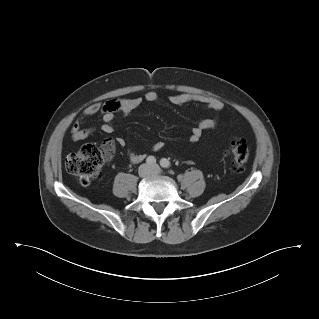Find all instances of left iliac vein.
Instances as JSON below:
<instances>
[{
    "label": "left iliac vein",
    "instance_id": "1",
    "mask_svg": "<svg viewBox=\"0 0 319 319\" xmlns=\"http://www.w3.org/2000/svg\"><path fill=\"white\" fill-rule=\"evenodd\" d=\"M161 173H162V170L158 165H156V164L152 165V167H151V174L152 175H158Z\"/></svg>",
    "mask_w": 319,
    "mask_h": 319
}]
</instances>
